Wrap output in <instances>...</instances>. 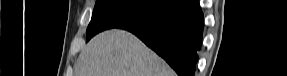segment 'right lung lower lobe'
<instances>
[{
	"label": "right lung lower lobe",
	"instance_id": "98d812e1",
	"mask_svg": "<svg viewBox=\"0 0 287 76\" xmlns=\"http://www.w3.org/2000/svg\"><path fill=\"white\" fill-rule=\"evenodd\" d=\"M128 31L164 58L179 76H194L203 31L198 0H174L160 15Z\"/></svg>",
	"mask_w": 287,
	"mask_h": 76
}]
</instances>
